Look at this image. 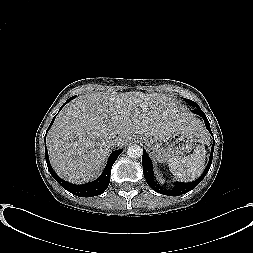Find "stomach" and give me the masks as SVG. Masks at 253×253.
Wrapping results in <instances>:
<instances>
[{
    "instance_id": "stomach-1",
    "label": "stomach",
    "mask_w": 253,
    "mask_h": 253,
    "mask_svg": "<svg viewBox=\"0 0 253 253\" xmlns=\"http://www.w3.org/2000/svg\"><path fill=\"white\" fill-rule=\"evenodd\" d=\"M140 137L150 148L154 158L161 163L188 152L193 144L200 139L194 135H186L181 131L157 136L143 134Z\"/></svg>"
}]
</instances>
